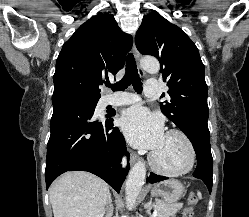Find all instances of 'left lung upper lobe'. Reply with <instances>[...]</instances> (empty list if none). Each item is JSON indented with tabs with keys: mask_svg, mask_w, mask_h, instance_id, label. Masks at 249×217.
<instances>
[{
	"mask_svg": "<svg viewBox=\"0 0 249 217\" xmlns=\"http://www.w3.org/2000/svg\"><path fill=\"white\" fill-rule=\"evenodd\" d=\"M135 43L141 54L152 55L160 61V72L171 98L161 103L162 113L186 135L193 124L207 123L204 65L187 34L160 14L150 13L143 17Z\"/></svg>",
	"mask_w": 249,
	"mask_h": 217,
	"instance_id": "1",
	"label": "left lung upper lobe"
}]
</instances>
